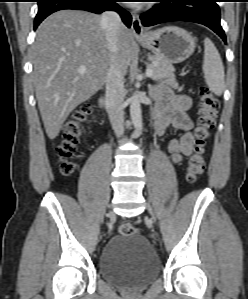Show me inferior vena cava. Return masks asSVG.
I'll return each instance as SVG.
<instances>
[{
	"instance_id": "obj_1",
	"label": "inferior vena cava",
	"mask_w": 248,
	"mask_h": 299,
	"mask_svg": "<svg viewBox=\"0 0 248 299\" xmlns=\"http://www.w3.org/2000/svg\"><path fill=\"white\" fill-rule=\"evenodd\" d=\"M120 25L121 19L116 12L106 11L102 14L100 26L105 31L110 53V66L106 77L105 102L110 123L117 137H120L124 132V76L116 58Z\"/></svg>"
}]
</instances>
